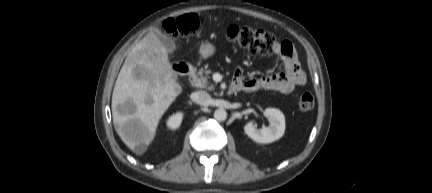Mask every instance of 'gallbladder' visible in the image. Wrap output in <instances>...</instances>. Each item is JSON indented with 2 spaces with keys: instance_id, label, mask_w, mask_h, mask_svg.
<instances>
[{
  "instance_id": "obj_1",
  "label": "gallbladder",
  "mask_w": 432,
  "mask_h": 193,
  "mask_svg": "<svg viewBox=\"0 0 432 193\" xmlns=\"http://www.w3.org/2000/svg\"><path fill=\"white\" fill-rule=\"evenodd\" d=\"M157 38L163 44L168 53L172 54L176 50V44L172 38L167 36L161 30L155 31ZM120 108V107H119Z\"/></svg>"
}]
</instances>
